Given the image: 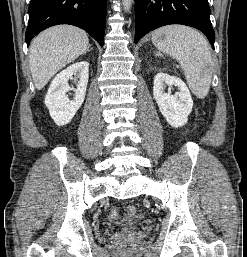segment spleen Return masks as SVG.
<instances>
[{
  "mask_svg": "<svg viewBox=\"0 0 247 257\" xmlns=\"http://www.w3.org/2000/svg\"><path fill=\"white\" fill-rule=\"evenodd\" d=\"M152 43L179 61L194 95L204 98L208 94L212 57L208 42L198 31L182 25L161 27L152 34Z\"/></svg>",
  "mask_w": 247,
  "mask_h": 257,
  "instance_id": "obj_1",
  "label": "spleen"
}]
</instances>
